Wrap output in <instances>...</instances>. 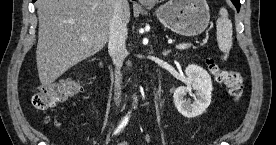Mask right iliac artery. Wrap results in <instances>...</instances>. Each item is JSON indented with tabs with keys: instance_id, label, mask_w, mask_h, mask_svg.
Masks as SVG:
<instances>
[{
	"instance_id": "82829eb1",
	"label": "right iliac artery",
	"mask_w": 276,
	"mask_h": 145,
	"mask_svg": "<svg viewBox=\"0 0 276 145\" xmlns=\"http://www.w3.org/2000/svg\"><path fill=\"white\" fill-rule=\"evenodd\" d=\"M128 121H129V116L126 115V116L122 119V121H121V123L119 124V126L117 127V129L115 130L114 134L119 133V132L127 125Z\"/></svg>"
}]
</instances>
